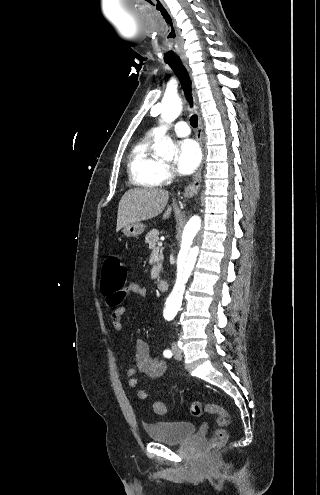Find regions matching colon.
I'll return each mask as SVG.
<instances>
[{"mask_svg": "<svg viewBox=\"0 0 320 495\" xmlns=\"http://www.w3.org/2000/svg\"><path fill=\"white\" fill-rule=\"evenodd\" d=\"M127 270L125 265L117 256L108 257L102 267L101 289L104 294L120 291L125 286ZM122 298V297H121ZM147 397V392L144 398ZM154 412L163 415L166 412V406L163 402L157 401L153 404ZM189 412L194 417H199L204 413L216 416L217 429L209 441V451H214L221 447L227 440L226 427L230 422L227 411L220 405L194 401L189 405Z\"/></svg>", "mask_w": 320, "mask_h": 495, "instance_id": "5ec220e1", "label": "colon"}]
</instances>
